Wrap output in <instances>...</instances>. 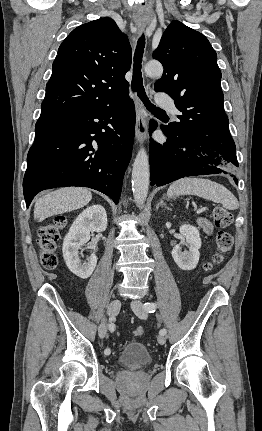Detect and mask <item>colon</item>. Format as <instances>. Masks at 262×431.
Here are the masks:
<instances>
[{"label": "colon", "instance_id": "5ec220e1", "mask_svg": "<svg viewBox=\"0 0 262 431\" xmlns=\"http://www.w3.org/2000/svg\"><path fill=\"white\" fill-rule=\"evenodd\" d=\"M214 218L217 227L225 228L231 225L233 216L225 208L218 207L214 210ZM67 220L64 216L56 217L51 223L43 225L39 230V245L41 249V264L46 269H55L58 264L57 248L60 241L61 231L66 227ZM233 238L231 233L220 229L216 234V251L211 261L205 264V269L211 270L223 260V256L232 249ZM144 333L143 327L134 330L135 336Z\"/></svg>", "mask_w": 262, "mask_h": 431}]
</instances>
